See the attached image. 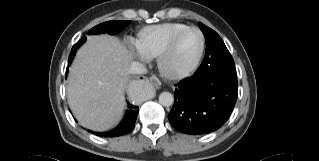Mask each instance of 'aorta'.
<instances>
[{"instance_id": "762f6f07", "label": "aorta", "mask_w": 319, "mask_h": 161, "mask_svg": "<svg viewBox=\"0 0 319 161\" xmlns=\"http://www.w3.org/2000/svg\"><path fill=\"white\" fill-rule=\"evenodd\" d=\"M150 90H151V86L146 85V86L142 87V89L139 91L138 96L140 98H147L148 97L147 92ZM173 101H174V97L169 92H162L159 96V103L162 106L169 107L173 104Z\"/></svg>"}]
</instances>
